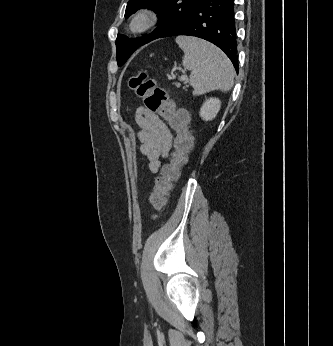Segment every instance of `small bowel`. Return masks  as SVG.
Segmentation results:
<instances>
[{
    "mask_svg": "<svg viewBox=\"0 0 333 346\" xmlns=\"http://www.w3.org/2000/svg\"><path fill=\"white\" fill-rule=\"evenodd\" d=\"M136 123L139 126L137 138L140 152L147 159L153 173L160 170L162 157H167L173 146V133L170 127L155 113L140 107L136 111Z\"/></svg>",
    "mask_w": 333,
    "mask_h": 346,
    "instance_id": "obj_1",
    "label": "small bowel"
}]
</instances>
